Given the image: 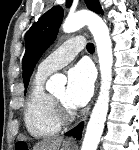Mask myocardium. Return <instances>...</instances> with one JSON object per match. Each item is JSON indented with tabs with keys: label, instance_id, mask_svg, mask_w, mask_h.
I'll list each match as a JSON object with an SVG mask.
<instances>
[{
	"label": "myocardium",
	"instance_id": "1",
	"mask_svg": "<svg viewBox=\"0 0 139 150\" xmlns=\"http://www.w3.org/2000/svg\"><path fill=\"white\" fill-rule=\"evenodd\" d=\"M49 100L53 116L60 125L69 124L74 120L75 112L72 108H67L52 95H49Z\"/></svg>",
	"mask_w": 139,
	"mask_h": 150
}]
</instances>
